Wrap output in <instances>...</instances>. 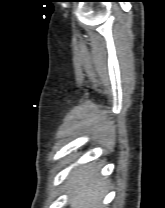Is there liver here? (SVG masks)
Masks as SVG:
<instances>
[{
    "instance_id": "6515ba94",
    "label": "liver",
    "mask_w": 165,
    "mask_h": 208,
    "mask_svg": "<svg viewBox=\"0 0 165 208\" xmlns=\"http://www.w3.org/2000/svg\"><path fill=\"white\" fill-rule=\"evenodd\" d=\"M67 183L71 194L70 208H100L109 185L99 177V168L95 165L76 169L68 177Z\"/></svg>"
}]
</instances>
